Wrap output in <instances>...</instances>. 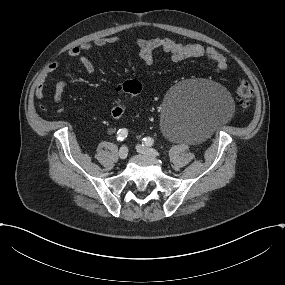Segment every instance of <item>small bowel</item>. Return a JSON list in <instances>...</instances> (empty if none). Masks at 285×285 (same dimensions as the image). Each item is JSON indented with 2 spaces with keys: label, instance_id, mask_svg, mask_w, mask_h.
I'll return each mask as SVG.
<instances>
[{
  "label": "small bowel",
  "instance_id": "1",
  "mask_svg": "<svg viewBox=\"0 0 285 285\" xmlns=\"http://www.w3.org/2000/svg\"><path fill=\"white\" fill-rule=\"evenodd\" d=\"M120 38L118 37H101L95 39L92 43H83L79 46L73 47L68 51V56L76 58L78 62L84 67L87 73L93 74L95 72V66L93 62L82 53L90 51L93 47H107L118 44ZM136 45L138 48V57L146 65H151L154 61L155 51H162L170 55V58L174 62H181L189 58H201L205 57L213 61L215 64V71L222 73L228 70V61L225 55L215 47H204L201 44L196 43H181L169 38H137ZM58 68L57 63H51L46 69V73L56 71ZM44 75L38 82L36 87V96L38 99H43L44 94ZM67 87V83L64 80H60L56 83L53 100L56 104H62L63 94Z\"/></svg>",
  "mask_w": 285,
  "mask_h": 285
}]
</instances>
